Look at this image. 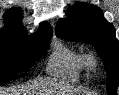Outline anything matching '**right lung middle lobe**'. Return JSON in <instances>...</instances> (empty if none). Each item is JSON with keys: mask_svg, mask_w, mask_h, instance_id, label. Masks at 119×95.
<instances>
[{"mask_svg": "<svg viewBox=\"0 0 119 95\" xmlns=\"http://www.w3.org/2000/svg\"><path fill=\"white\" fill-rule=\"evenodd\" d=\"M51 32L27 36L19 33L0 36V85L32 67L38 56L49 48Z\"/></svg>", "mask_w": 119, "mask_h": 95, "instance_id": "dd1d6c3e", "label": "right lung middle lobe"}]
</instances>
